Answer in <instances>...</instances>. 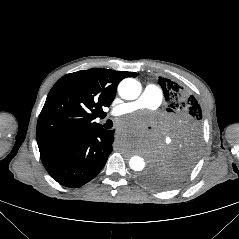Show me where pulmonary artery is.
<instances>
[{
    "label": "pulmonary artery",
    "mask_w": 239,
    "mask_h": 239,
    "mask_svg": "<svg viewBox=\"0 0 239 239\" xmlns=\"http://www.w3.org/2000/svg\"><path fill=\"white\" fill-rule=\"evenodd\" d=\"M163 100L162 90L155 84H147L141 96L131 102L122 103L110 111V116L118 117L139 109H157Z\"/></svg>",
    "instance_id": "e3ab8cb5"
}]
</instances>
